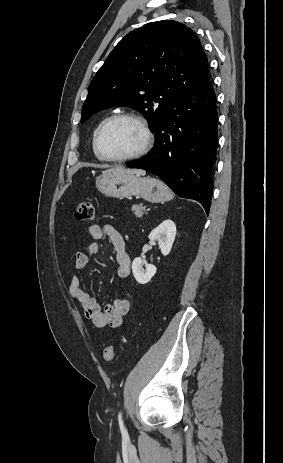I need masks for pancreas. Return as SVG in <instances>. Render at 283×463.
I'll use <instances>...</instances> for the list:
<instances>
[{
  "label": "pancreas",
  "mask_w": 283,
  "mask_h": 463,
  "mask_svg": "<svg viewBox=\"0 0 283 463\" xmlns=\"http://www.w3.org/2000/svg\"><path fill=\"white\" fill-rule=\"evenodd\" d=\"M145 206L143 204L133 205L131 207L132 212L137 218H141L145 214Z\"/></svg>",
  "instance_id": "1"
}]
</instances>
